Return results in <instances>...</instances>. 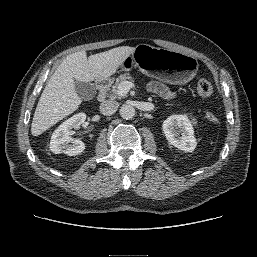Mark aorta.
I'll return each instance as SVG.
<instances>
[{"label":"aorta","mask_w":257,"mask_h":257,"mask_svg":"<svg viewBox=\"0 0 257 257\" xmlns=\"http://www.w3.org/2000/svg\"><path fill=\"white\" fill-rule=\"evenodd\" d=\"M120 116L123 119L130 120L135 116V109L132 105L124 104L120 108Z\"/></svg>","instance_id":"aorta-1"}]
</instances>
